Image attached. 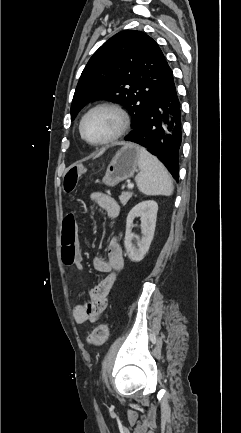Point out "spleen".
<instances>
[{
	"label": "spleen",
	"mask_w": 241,
	"mask_h": 433,
	"mask_svg": "<svg viewBox=\"0 0 241 433\" xmlns=\"http://www.w3.org/2000/svg\"><path fill=\"white\" fill-rule=\"evenodd\" d=\"M139 169L136 184L140 192L148 196H171L173 182L164 165L145 148H140Z\"/></svg>",
	"instance_id": "obj_1"
}]
</instances>
